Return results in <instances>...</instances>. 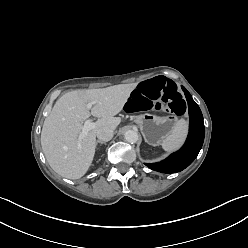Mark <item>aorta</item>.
<instances>
[{
  "label": "aorta",
  "mask_w": 248,
  "mask_h": 248,
  "mask_svg": "<svg viewBox=\"0 0 248 248\" xmlns=\"http://www.w3.org/2000/svg\"><path fill=\"white\" fill-rule=\"evenodd\" d=\"M124 138L129 143H136L138 141V133L134 130H128L125 132Z\"/></svg>",
  "instance_id": "762f6f07"
}]
</instances>
